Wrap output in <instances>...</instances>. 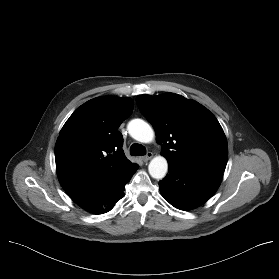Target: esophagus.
<instances>
[{"instance_id": "esophagus-1", "label": "esophagus", "mask_w": 279, "mask_h": 279, "mask_svg": "<svg viewBox=\"0 0 279 279\" xmlns=\"http://www.w3.org/2000/svg\"><path fill=\"white\" fill-rule=\"evenodd\" d=\"M152 157H153V153H152V152H148V153L143 157V161H144V162H147V161H149Z\"/></svg>"}]
</instances>
